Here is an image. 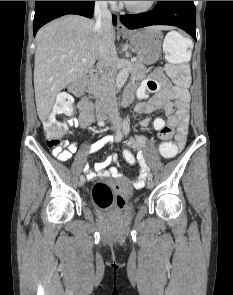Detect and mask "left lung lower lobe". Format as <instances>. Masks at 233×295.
Returning a JSON list of instances; mask_svg holds the SVG:
<instances>
[{
  "label": "left lung lower lobe",
  "instance_id": "obj_1",
  "mask_svg": "<svg viewBox=\"0 0 233 295\" xmlns=\"http://www.w3.org/2000/svg\"><path fill=\"white\" fill-rule=\"evenodd\" d=\"M120 20L129 29L157 24L177 26L189 33L196 41L193 1H158L151 11L137 15H123Z\"/></svg>",
  "mask_w": 233,
  "mask_h": 295
}]
</instances>
